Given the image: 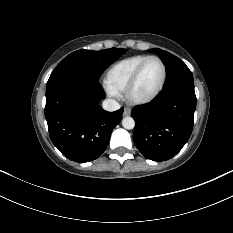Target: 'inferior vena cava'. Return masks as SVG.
Segmentation results:
<instances>
[{"instance_id": "inferior-vena-cava-1", "label": "inferior vena cava", "mask_w": 233, "mask_h": 233, "mask_svg": "<svg viewBox=\"0 0 233 233\" xmlns=\"http://www.w3.org/2000/svg\"><path fill=\"white\" fill-rule=\"evenodd\" d=\"M102 107L106 111L113 112L120 108V104L113 99H106L103 101Z\"/></svg>"}]
</instances>
